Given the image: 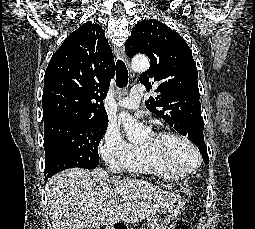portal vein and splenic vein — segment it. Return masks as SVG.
Listing matches in <instances>:
<instances>
[{"instance_id":"obj_1","label":"portal vein and splenic vein","mask_w":255,"mask_h":229,"mask_svg":"<svg viewBox=\"0 0 255 229\" xmlns=\"http://www.w3.org/2000/svg\"><path fill=\"white\" fill-rule=\"evenodd\" d=\"M113 202H114V200H111V201H110V203H113Z\"/></svg>"}]
</instances>
